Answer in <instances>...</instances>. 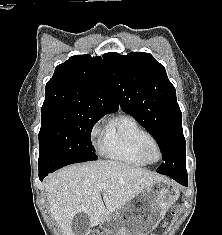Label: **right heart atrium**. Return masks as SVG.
I'll use <instances>...</instances> for the list:
<instances>
[{"mask_svg":"<svg viewBox=\"0 0 222 235\" xmlns=\"http://www.w3.org/2000/svg\"><path fill=\"white\" fill-rule=\"evenodd\" d=\"M100 134H101V130H100L99 123H96L91 131V137L93 139H96L100 136Z\"/></svg>","mask_w":222,"mask_h":235,"instance_id":"1","label":"right heart atrium"}]
</instances>
